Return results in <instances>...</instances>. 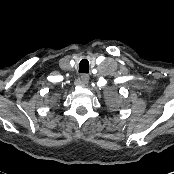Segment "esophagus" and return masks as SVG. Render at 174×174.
I'll return each mask as SVG.
<instances>
[{
    "instance_id": "obj_1",
    "label": "esophagus",
    "mask_w": 174,
    "mask_h": 174,
    "mask_svg": "<svg viewBox=\"0 0 174 174\" xmlns=\"http://www.w3.org/2000/svg\"><path fill=\"white\" fill-rule=\"evenodd\" d=\"M89 75L88 74H82L81 75V81L84 83V84H87L89 82Z\"/></svg>"
}]
</instances>
